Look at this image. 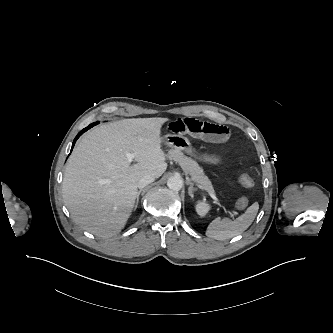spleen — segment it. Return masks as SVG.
I'll list each match as a JSON object with an SVG mask.
<instances>
[{
	"label": "spleen",
	"instance_id": "spleen-1",
	"mask_svg": "<svg viewBox=\"0 0 333 333\" xmlns=\"http://www.w3.org/2000/svg\"><path fill=\"white\" fill-rule=\"evenodd\" d=\"M259 209L258 202L253 203L236 220L215 218L207 227L206 236L216 240L230 239L244 232L254 221Z\"/></svg>",
	"mask_w": 333,
	"mask_h": 333
}]
</instances>
